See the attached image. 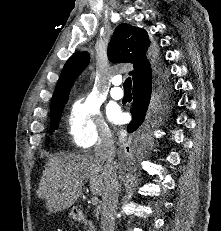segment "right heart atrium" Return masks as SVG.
Instances as JSON below:
<instances>
[{"instance_id":"obj_1","label":"right heart atrium","mask_w":221,"mask_h":231,"mask_svg":"<svg viewBox=\"0 0 221 231\" xmlns=\"http://www.w3.org/2000/svg\"><path fill=\"white\" fill-rule=\"evenodd\" d=\"M68 133L73 143L90 148L111 140V132L95 101L87 96L77 98L68 118Z\"/></svg>"}]
</instances>
